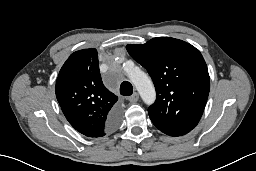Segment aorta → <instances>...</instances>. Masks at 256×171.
Segmentation results:
<instances>
[{"label": "aorta", "mask_w": 256, "mask_h": 171, "mask_svg": "<svg viewBox=\"0 0 256 171\" xmlns=\"http://www.w3.org/2000/svg\"><path fill=\"white\" fill-rule=\"evenodd\" d=\"M124 70L126 71L130 81L136 87L142 100L148 105L152 104L156 99V93L155 88L149 77L140 69L125 68Z\"/></svg>", "instance_id": "obj_1"}]
</instances>
